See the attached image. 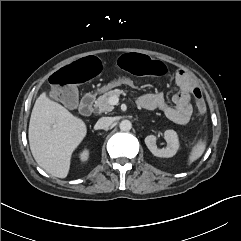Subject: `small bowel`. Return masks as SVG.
I'll return each mask as SVG.
<instances>
[{
  "instance_id": "c3829d8e",
  "label": "small bowel",
  "mask_w": 241,
  "mask_h": 241,
  "mask_svg": "<svg viewBox=\"0 0 241 241\" xmlns=\"http://www.w3.org/2000/svg\"><path fill=\"white\" fill-rule=\"evenodd\" d=\"M167 72L168 68L166 73ZM175 79L179 86V91L172 98L174 105L168 103L162 92L144 94L137 102L141 107L146 109H160L171 121L179 125H184L189 122L192 115L190 95L191 93L193 94L194 91L200 92V90L193 77L183 69L175 72Z\"/></svg>"
}]
</instances>
